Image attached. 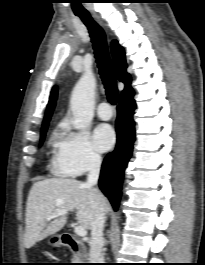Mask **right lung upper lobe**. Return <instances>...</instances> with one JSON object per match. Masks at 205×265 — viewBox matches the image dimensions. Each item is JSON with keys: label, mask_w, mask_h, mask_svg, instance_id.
<instances>
[{"label": "right lung upper lobe", "mask_w": 205, "mask_h": 265, "mask_svg": "<svg viewBox=\"0 0 205 265\" xmlns=\"http://www.w3.org/2000/svg\"><path fill=\"white\" fill-rule=\"evenodd\" d=\"M111 51H112V56L114 59V64L116 67V73H117L118 79L125 84V89L122 91L119 101L129 100L133 98L134 92L130 86L131 84L130 75L126 72L127 64L125 60V52L123 48L115 40L111 43ZM56 99H57V86H54L51 91V95H50L49 103L47 105V110H46V114L43 120L42 128L46 126L48 127V123L50 121L52 112L55 107Z\"/></svg>", "instance_id": "obj_1"}]
</instances>
